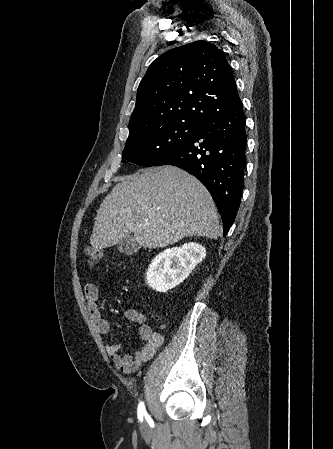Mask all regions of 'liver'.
I'll use <instances>...</instances> for the list:
<instances>
[{"label":"liver","instance_id":"obj_1","mask_svg":"<svg viewBox=\"0 0 333 449\" xmlns=\"http://www.w3.org/2000/svg\"><path fill=\"white\" fill-rule=\"evenodd\" d=\"M130 233L138 246L159 248L187 236L217 239L221 227L205 186L169 165L120 177L97 211L90 244L111 247Z\"/></svg>","mask_w":333,"mask_h":449}]
</instances>
